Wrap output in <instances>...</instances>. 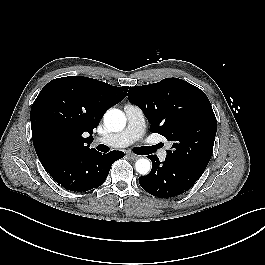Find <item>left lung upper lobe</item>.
Returning <instances> with one entry per match:
<instances>
[{"label": "left lung upper lobe", "instance_id": "1", "mask_svg": "<svg viewBox=\"0 0 265 265\" xmlns=\"http://www.w3.org/2000/svg\"><path fill=\"white\" fill-rule=\"evenodd\" d=\"M128 99L139 106L150 131L172 141L166 160L203 174L213 151L217 121L206 94L178 78L130 87Z\"/></svg>", "mask_w": 265, "mask_h": 265}]
</instances>
